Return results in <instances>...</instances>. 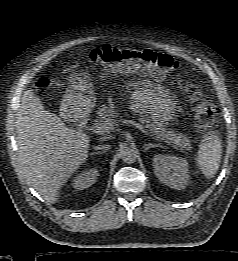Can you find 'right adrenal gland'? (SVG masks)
<instances>
[{
	"mask_svg": "<svg viewBox=\"0 0 238 261\" xmlns=\"http://www.w3.org/2000/svg\"><path fill=\"white\" fill-rule=\"evenodd\" d=\"M107 150H104V151H98V152H95V153H93V154H101V153H104V152H106Z\"/></svg>",
	"mask_w": 238,
	"mask_h": 261,
	"instance_id": "right-adrenal-gland-1",
	"label": "right adrenal gland"
}]
</instances>
